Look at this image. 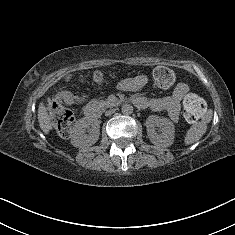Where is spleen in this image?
I'll return each mask as SVG.
<instances>
[{
	"instance_id": "spleen-1",
	"label": "spleen",
	"mask_w": 235,
	"mask_h": 235,
	"mask_svg": "<svg viewBox=\"0 0 235 235\" xmlns=\"http://www.w3.org/2000/svg\"><path fill=\"white\" fill-rule=\"evenodd\" d=\"M196 131H199V128H197V129L195 128V129H194V132H193V133L191 134V136L188 138L189 142L194 141V140L197 139V137L192 138L193 134H194Z\"/></svg>"
}]
</instances>
